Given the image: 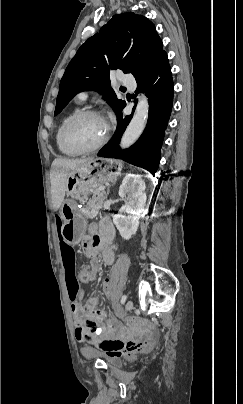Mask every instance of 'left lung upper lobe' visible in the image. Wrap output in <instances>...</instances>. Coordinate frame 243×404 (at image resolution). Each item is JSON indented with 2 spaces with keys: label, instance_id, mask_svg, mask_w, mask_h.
Masks as SVG:
<instances>
[{
  "label": "left lung upper lobe",
  "instance_id": "1",
  "mask_svg": "<svg viewBox=\"0 0 243 404\" xmlns=\"http://www.w3.org/2000/svg\"><path fill=\"white\" fill-rule=\"evenodd\" d=\"M163 44L152 22L133 12L114 15L90 37L70 61L61 79L55 115L79 92L98 90L121 117L126 103L110 87V71L121 69L135 79L163 54Z\"/></svg>",
  "mask_w": 243,
  "mask_h": 404
}]
</instances>
